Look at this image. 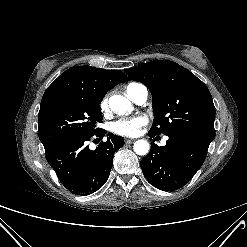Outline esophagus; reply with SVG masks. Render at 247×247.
I'll use <instances>...</instances> for the list:
<instances>
[{
	"instance_id": "34e87169",
	"label": "esophagus",
	"mask_w": 247,
	"mask_h": 247,
	"mask_svg": "<svg viewBox=\"0 0 247 247\" xmlns=\"http://www.w3.org/2000/svg\"><path fill=\"white\" fill-rule=\"evenodd\" d=\"M135 141V139H130V138H126L125 139V143L126 144H131V143H133Z\"/></svg>"
}]
</instances>
